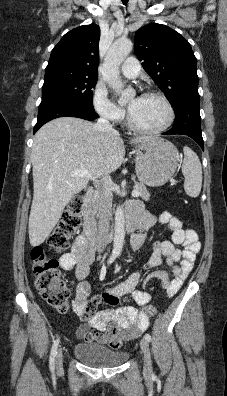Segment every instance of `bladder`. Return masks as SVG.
Masks as SVG:
<instances>
[{
  "mask_svg": "<svg viewBox=\"0 0 227 396\" xmlns=\"http://www.w3.org/2000/svg\"><path fill=\"white\" fill-rule=\"evenodd\" d=\"M74 355L81 362L96 368H111L124 364L129 353L102 346L97 343H79L74 347Z\"/></svg>",
  "mask_w": 227,
  "mask_h": 396,
  "instance_id": "bladder-1",
  "label": "bladder"
}]
</instances>
